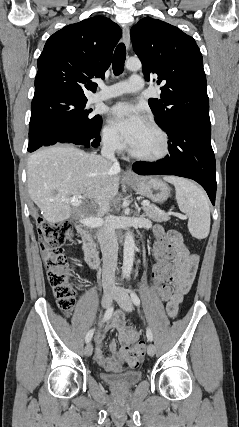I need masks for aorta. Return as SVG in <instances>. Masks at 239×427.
Here are the masks:
<instances>
[{
	"instance_id": "aorta-1",
	"label": "aorta",
	"mask_w": 239,
	"mask_h": 427,
	"mask_svg": "<svg viewBox=\"0 0 239 427\" xmlns=\"http://www.w3.org/2000/svg\"><path fill=\"white\" fill-rule=\"evenodd\" d=\"M125 67L130 71H138L142 65L139 59L130 58L125 62ZM135 241L131 231L125 234L124 250H123V266L122 273L129 276L132 270L134 261Z\"/></svg>"
}]
</instances>
